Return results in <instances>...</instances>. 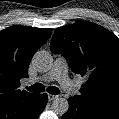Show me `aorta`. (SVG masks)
<instances>
[{"mask_svg": "<svg viewBox=\"0 0 119 119\" xmlns=\"http://www.w3.org/2000/svg\"><path fill=\"white\" fill-rule=\"evenodd\" d=\"M32 63L37 71L47 72L51 69L53 65V57L48 51H37L33 56ZM68 108V101L63 97H58L52 102V110L57 115L65 114L68 111Z\"/></svg>", "mask_w": 119, "mask_h": 119, "instance_id": "aorta-1", "label": "aorta"}]
</instances>
